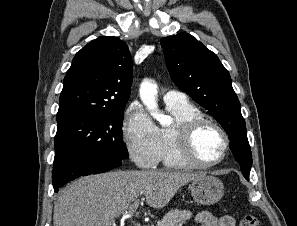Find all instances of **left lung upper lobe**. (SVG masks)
I'll list each match as a JSON object with an SVG mask.
<instances>
[{"label":"left lung upper lobe","instance_id":"obj_1","mask_svg":"<svg viewBox=\"0 0 297 226\" xmlns=\"http://www.w3.org/2000/svg\"><path fill=\"white\" fill-rule=\"evenodd\" d=\"M161 45L172 81L221 124L244 177L249 179L251 148L229 72L216 54L190 34L165 37Z\"/></svg>","mask_w":297,"mask_h":226}]
</instances>
